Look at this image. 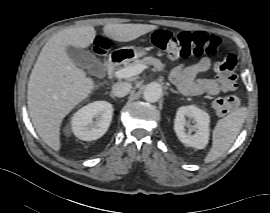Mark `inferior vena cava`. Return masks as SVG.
<instances>
[{"instance_id": "inferior-vena-cava-1", "label": "inferior vena cava", "mask_w": 270, "mask_h": 213, "mask_svg": "<svg viewBox=\"0 0 270 213\" xmlns=\"http://www.w3.org/2000/svg\"><path fill=\"white\" fill-rule=\"evenodd\" d=\"M131 90V84L128 82H118L115 83L112 87V94L116 97H124Z\"/></svg>"}]
</instances>
